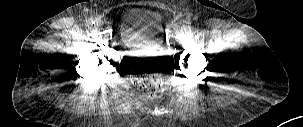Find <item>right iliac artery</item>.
Instances as JSON below:
<instances>
[{
  "label": "right iliac artery",
  "instance_id": "1",
  "mask_svg": "<svg viewBox=\"0 0 303 127\" xmlns=\"http://www.w3.org/2000/svg\"><path fill=\"white\" fill-rule=\"evenodd\" d=\"M87 23L90 24V25H93L95 23V20L93 18H89L87 20Z\"/></svg>",
  "mask_w": 303,
  "mask_h": 127
}]
</instances>
